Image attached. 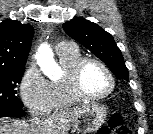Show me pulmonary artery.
I'll use <instances>...</instances> for the list:
<instances>
[{"mask_svg": "<svg viewBox=\"0 0 153 134\" xmlns=\"http://www.w3.org/2000/svg\"><path fill=\"white\" fill-rule=\"evenodd\" d=\"M74 49H76L75 45L70 42H62L58 44L56 48L58 54L73 51Z\"/></svg>", "mask_w": 153, "mask_h": 134, "instance_id": "obj_1", "label": "pulmonary artery"}]
</instances>
